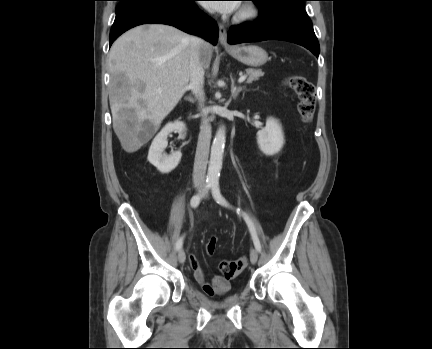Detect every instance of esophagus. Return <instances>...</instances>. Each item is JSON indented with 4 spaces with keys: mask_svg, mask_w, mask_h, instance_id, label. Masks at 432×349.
<instances>
[{
    "mask_svg": "<svg viewBox=\"0 0 432 349\" xmlns=\"http://www.w3.org/2000/svg\"><path fill=\"white\" fill-rule=\"evenodd\" d=\"M219 42L222 46L229 47L227 42V30L222 24H219Z\"/></svg>",
    "mask_w": 432,
    "mask_h": 349,
    "instance_id": "obj_1",
    "label": "esophagus"
}]
</instances>
